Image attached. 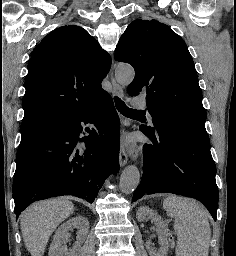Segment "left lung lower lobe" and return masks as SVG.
Returning <instances> with one entry per match:
<instances>
[{"label": "left lung lower lobe", "instance_id": "left-lung-lower-lobe-1", "mask_svg": "<svg viewBox=\"0 0 236 256\" xmlns=\"http://www.w3.org/2000/svg\"><path fill=\"white\" fill-rule=\"evenodd\" d=\"M153 125L140 126L151 143L143 145L144 171L132 201L153 193L193 197L216 220L219 193L208 135L165 119Z\"/></svg>", "mask_w": 236, "mask_h": 256}]
</instances>
